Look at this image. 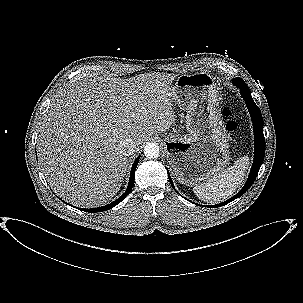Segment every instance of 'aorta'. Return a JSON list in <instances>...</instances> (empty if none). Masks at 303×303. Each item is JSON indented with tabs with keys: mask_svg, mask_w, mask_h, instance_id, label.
I'll use <instances>...</instances> for the list:
<instances>
[{
	"mask_svg": "<svg viewBox=\"0 0 303 303\" xmlns=\"http://www.w3.org/2000/svg\"><path fill=\"white\" fill-rule=\"evenodd\" d=\"M159 146L156 143H148L144 147L145 157L148 159H156L159 157Z\"/></svg>",
	"mask_w": 303,
	"mask_h": 303,
	"instance_id": "obj_1",
	"label": "aorta"
}]
</instances>
